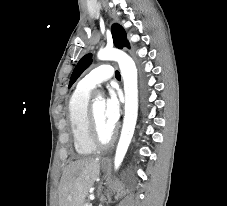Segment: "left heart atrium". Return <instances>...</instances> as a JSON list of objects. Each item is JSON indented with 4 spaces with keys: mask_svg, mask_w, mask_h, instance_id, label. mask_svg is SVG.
Returning <instances> with one entry per match:
<instances>
[{
    "mask_svg": "<svg viewBox=\"0 0 227 206\" xmlns=\"http://www.w3.org/2000/svg\"><path fill=\"white\" fill-rule=\"evenodd\" d=\"M104 117L108 126L114 130L120 117V102L114 92H111L104 102Z\"/></svg>",
    "mask_w": 227,
    "mask_h": 206,
    "instance_id": "obj_1",
    "label": "left heart atrium"
}]
</instances>
